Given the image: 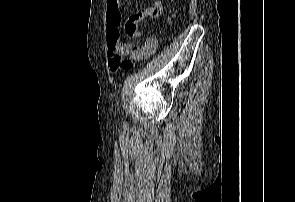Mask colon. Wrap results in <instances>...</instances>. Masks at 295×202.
I'll list each match as a JSON object with an SVG mask.
<instances>
[{
    "label": "colon",
    "mask_w": 295,
    "mask_h": 202,
    "mask_svg": "<svg viewBox=\"0 0 295 202\" xmlns=\"http://www.w3.org/2000/svg\"><path fill=\"white\" fill-rule=\"evenodd\" d=\"M110 28L108 29V46L109 47H121L125 44L123 38L133 37L137 34V25L131 18H129L124 25L109 23Z\"/></svg>",
    "instance_id": "obj_1"
}]
</instances>
